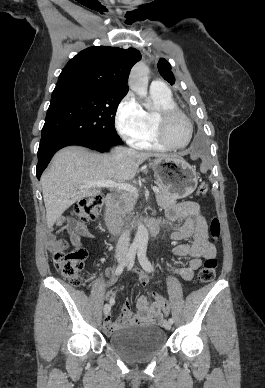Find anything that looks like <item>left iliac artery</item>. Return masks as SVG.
<instances>
[{"mask_svg": "<svg viewBox=\"0 0 265 388\" xmlns=\"http://www.w3.org/2000/svg\"><path fill=\"white\" fill-rule=\"evenodd\" d=\"M146 251H147V246L145 244H141L138 250V260L145 271L151 272L153 271V266L146 256ZM168 321L171 324H173L174 322L172 318H169Z\"/></svg>", "mask_w": 265, "mask_h": 388, "instance_id": "left-iliac-artery-1", "label": "left iliac artery"}]
</instances>
